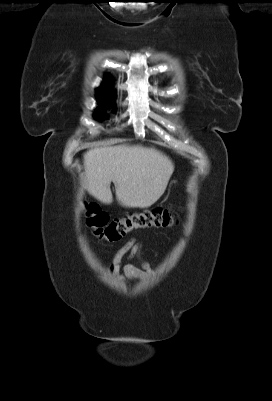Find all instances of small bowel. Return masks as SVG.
I'll return each mask as SVG.
<instances>
[{
    "mask_svg": "<svg viewBox=\"0 0 272 401\" xmlns=\"http://www.w3.org/2000/svg\"><path fill=\"white\" fill-rule=\"evenodd\" d=\"M141 244L136 239L128 240L114 254L110 266L111 272L127 282L136 281L151 273L150 264L141 257ZM137 258L140 261V267L132 264L121 266V261L124 257Z\"/></svg>",
    "mask_w": 272,
    "mask_h": 401,
    "instance_id": "small-bowel-1",
    "label": "small bowel"
}]
</instances>
